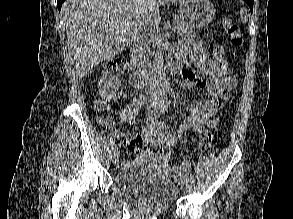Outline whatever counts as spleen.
<instances>
[{"label": "spleen", "instance_id": "3e777b00", "mask_svg": "<svg viewBox=\"0 0 293 219\" xmlns=\"http://www.w3.org/2000/svg\"><path fill=\"white\" fill-rule=\"evenodd\" d=\"M240 17L243 23H246L248 21V15H247V11L245 8H242L240 10Z\"/></svg>", "mask_w": 293, "mask_h": 219}]
</instances>
